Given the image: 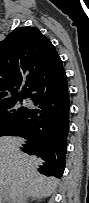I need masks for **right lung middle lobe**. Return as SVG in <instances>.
Here are the masks:
<instances>
[{
    "instance_id": "obj_1",
    "label": "right lung middle lobe",
    "mask_w": 89,
    "mask_h": 203,
    "mask_svg": "<svg viewBox=\"0 0 89 203\" xmlns=\"http://www.w3.org/2000/svg\"><path fill=\"white\" fill-rule=\"evenodd\" d=\"M26 97L22 96L0 105V136L9 135L26 114L28 108L20 105L22 99Z\"/></svg>"
}]
</instances>
